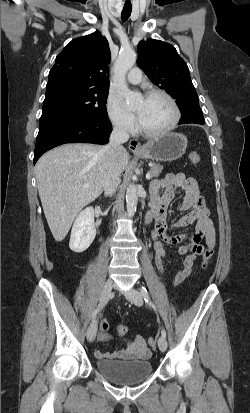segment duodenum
Here are the masks:
<instances>
[{
    "label": "duodenum",
    "instance_id": "1",
    "mask_svg": "<svg viewBox=\"0 0 250 413\" xmlns=\"http://www.w3.org/2000/svg\"><path fill=\"white\" fill-rule=\"evenodd\" d=\"M157 213L154 209H151L147 215H146V222L150 223L152 222L154 219H156Z\"/></svg>",
    "mask_w": 250,
    "mask_h": 413
}]
</instances>
